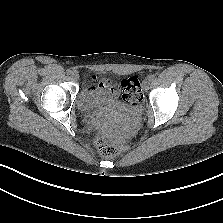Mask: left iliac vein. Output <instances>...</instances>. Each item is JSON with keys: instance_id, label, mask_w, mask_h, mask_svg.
Here are the masks:
<instances>
[{"instance_id": "left-iliac-vein-1", "label": "left iliac vein", "mask_w": 223, "mask_h": 223, "mask_svg": "<svg viewBox=\"0 0 223 223\" xmlns=\"http://www.w3.org/2000/svg\"><path fill=\"white\" fill-rule=\"evenodd\" d=\"M149 86H150V81L148 78L144 79L143 82H142V89L144 91H147L149 89Z\"/></svg>"}]
</instances>
